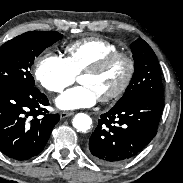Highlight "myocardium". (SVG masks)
I'll list each match as a JSON object with an SVG mask.
<instances>
[{
    "label": "myocardium",
    "instance_id": "myocardium-1",
    "mask_svg": "<svg viewBox=\"0 0 183 183\" xmlns=\"http://www.w3.org/2000/svg\"><path fill=\"white\" fill-rule=\"evenodd\" d=\"M118 59H123L127 63L128 69H127L126 76H125L124 80L122 81V83L114 91H112L111 93H109L105 96L99 97V100L103 103L115 101L118 98H120L127 91V89L129 88V86L133 80L135 70H136V63H135L134 58L126 52L117 51V52H114V53L98 60L97 62H95L91 66L87 67L86 69H84L81 72V75L98 74V73L106 70L109 66H111Z\"/></svg>",
    "mask_w": 183,
    "mask_h": 183
}]
</instances>
